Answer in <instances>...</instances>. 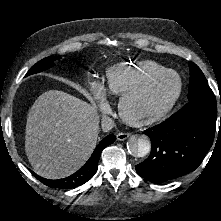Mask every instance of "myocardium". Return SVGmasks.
Returning <instances> with one entry per match:
<instances>
[{
	"instance_id": "myocardium-1",
	"label": "myocardium",
	"mask_w": 221,
	"mask_h": 221,
	"mask_svg": "<svg viewBox=\"0 0 221 221\" xmlns=\"http://www.w3.org/2000/svg\"><path fill=\"white\" fill-rule=\"evenodd\" d=\"M173 75L177 78V88L168 101L161 107L146 113L134 110V103L147 94L151 88L162 79ZM182 92V80L179 74L173 70H165L159 73L141 86L125 93L119 103V111L122 118L132 126H145L161 121L175 106Z\"/></svg>"
}]
</instances>
